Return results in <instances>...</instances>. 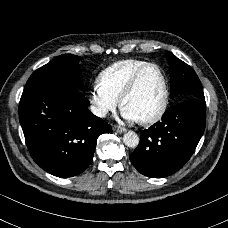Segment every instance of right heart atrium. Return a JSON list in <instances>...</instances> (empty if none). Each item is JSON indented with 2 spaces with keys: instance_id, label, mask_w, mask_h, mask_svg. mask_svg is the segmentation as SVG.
Returning a JSON list of instances; mask_svg holds the SVG:
<instances>
[{
  "instance_id": "right-heart-atrium-1",
  "label": "right heart atrium",
  "mask_w": 228,
  "mask_h": 228,
  "mask_svg": "<svg viewBox=\"0 0 228 228\" xmlns=\"http://www.w3.org/2000/svg\"><path fill=\"white\" fill-rule=\"evenodd\" d=\"M90 103L99 117H105L118 106V100L103 92L97 82L92 85Z\"/></svg>"
}]
</instances>
